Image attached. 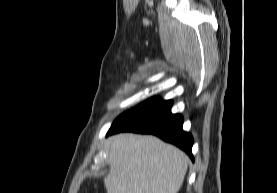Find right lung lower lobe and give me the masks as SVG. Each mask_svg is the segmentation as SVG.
I'll list each match as a JSON object with an SVG mask.
<instances>
[{
	"label": "right lung lower lobe",
	"mask_w": 277,
	"mask_h": 193,
	"mask_svg": "<svg viewBox=\"0 0 277 193\" xmlns=\"http://www.w3.org/2000/svg\"><path fill=\"white\" fill-rule=\"evenodd\" d=\"M171 100L152 98L120 115L112 124L107 136L124 131L154 134L166 142L192 155L193 137L183 131V117L171 113Z\"/></svg>",
	"instance_id": "1"
}]
</instances>
